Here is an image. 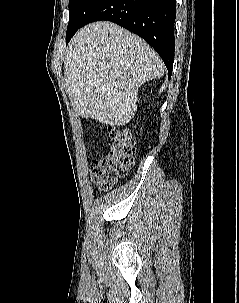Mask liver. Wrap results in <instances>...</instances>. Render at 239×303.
<instances>
[{
    "label": "liver",
    "instance_id": "6515ba94",
    "mask_svg": "<svg viewBox=\"0 0 239 303\" xmlns=\"http://www.w3.org/2000/svg\"><path fill=\"white\" fill-rule=\"evenodd\" d=\"M163 74L161 58L142 38L108 21L80 29L64 61L67 92L76 111L106 125L128 124L141 85Z\"/></svg>",
    "mask_w": 239,
    "mask_h": 303
}]
</instances>
